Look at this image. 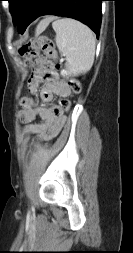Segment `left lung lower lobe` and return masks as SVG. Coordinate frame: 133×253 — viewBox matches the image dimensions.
<instances>
[{
	"mask_svg": "<svg viewBox=\"0 0 133 253\" xmlns=\"http://www.w3.org/2000/svg\"><path fill=\"white\" fill-rule=\"evenodd\" d=\"M104 0H27L17 24L23 34L27 26L43 15L70 17L90 27L98 38L101 25V2Z\"/></svg>",
	"mask_w": 133,
	"mask_h": 253,
	"instance_id": "1",
	"label": "left lung lower lobe"
}]
</instances>
